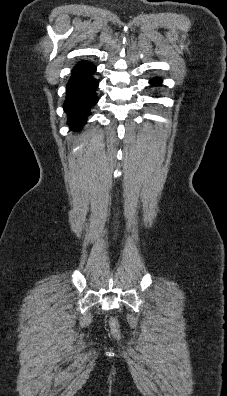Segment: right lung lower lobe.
<instances>
[{
    "mask_svg": "<svg viewBox=\"0 0 227 396\" xmlns=\"http://www.w3.org/2000/svg\"><path fill=\"white\" fill-rule=\"evenodd\" d=\"M95 71L96 66L87 61L78 62L72 70L63 105L72 130L81 129L91 114V107L98 101L95 93L98 82L92 76Z\"/></svg>",
    "mask_w": 227,
    "mask_h": 396,
    "instance_id": "obj_1",
    "label": "right lung lower lobe"
}]
</instances>
